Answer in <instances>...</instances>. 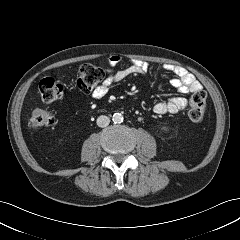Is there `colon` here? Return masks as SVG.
I'll use <instances>...</instances> for the list:
<instances>
[{
	"mask_svg": "<svg viewBox=\"0 0 240 240\" xmlns=\"http://www.w3.org/2000/svg\"><path fill=\"white\" fill-rule=\"evenodd\" d=\"M103 77V71L99 67L93 64H83L78 69L76 87L82 92H90L101 83ZM39 90L42 100L51 102L62 97L64 86L59 81L46 77L40 81ZM206 97V92L203 90H198L192 95L188 116L193 123H200L204 119ZM29 123L33 130H42L51 127L54 118L48 110L36 107L31 113Z\"/></svg>",
	"mask_w": 240,
	"mask_h": 240,
	"instance_id": "colon-1",
	"label": "colon"
}]
</instances>
